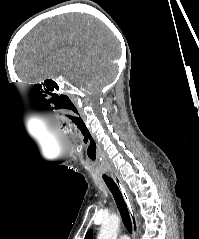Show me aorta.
<instances>
[{
    "label": "aorta",
    "instance_id": "obj_1",
    "mask_svg": "<svg viewBox=\"0 0 199 239\" xmlns=\"http://www.w3.org/2000/svg\"><path fill=\"white\" fill-rule=\"evenodd\" d=\"M120 219L116 214L106 217L101 225L97 239H117Z\"/></svg>",
    "mask_w": 199,
    "mask_h": 239
}]
</instances>
